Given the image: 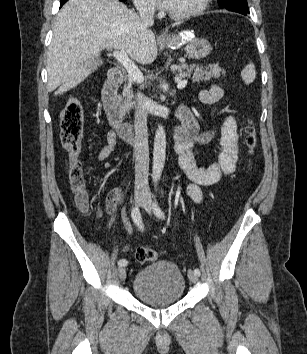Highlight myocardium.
Listing matches in <instances>:
<instances>
[{
  "mask_svg": "<svg viewBox=\"0 0 307 354\" xmlns=\"http://www.w3.org/2000/svg\"><path fill=\"white\" fill-rule=\"evenodd\" d=\"M210 2L211 0H199L197 4L188 11L183 13L170 12L169 15L175 20H186L201 14L208 8Z\"/></svg>",
  "mask_w": 307,
  "mask_h": 354,
  "instance_id": "f54148a6",
  "label": "myocardium"
}]
</instances>
